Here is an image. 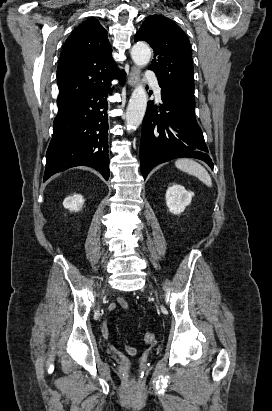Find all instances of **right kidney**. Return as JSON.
<instances>
[{
    "label": "right kidney",
    "instance_id": "1",
    "mask_svg": "<svg viewBox=\"0 0 272 411\" xmlns=\"http://www.w3.org/2000/svg\"><path fill=\"white\" fill-rule=\"evenodd\" d=\"M84 203V198L81 194H74L73 196H68L63 201V206L70 211H79Z\"/></svg>",
    "mask_w": 272,
    "mask_h": 411
}]
</instances>
